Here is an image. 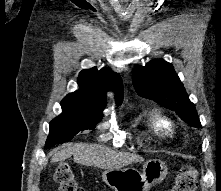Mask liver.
<instances>
[{"instance_id": "obj_1", "label": "liver", "mask_w": 221, "mask_h": 191, "mask_svg": "<svg viewBox=\"0 0 221 191\" xmlns=\"http://www.w3.org/2000/svg\"><path fill=\"white\" fill-rule=\"evenodd\" d=\"M72 155L76 163L102 169H119L144 160L136 154L116 152L93 144L69 143L54 151L51 162L63 161Z\"/></svg>"}]
</instances>
